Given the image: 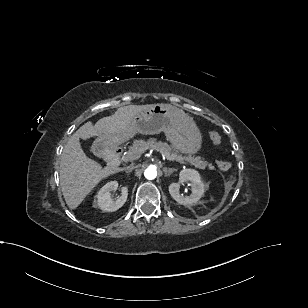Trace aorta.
Returning <instances> with one entry per match:
<instances>
[{"label": "aorta", "mask_w": 308, "mask_h": 308, "mask_svg": "<svg viewBox=\"0 0 308 308\" xmlns=\"http://www.w3.org/2000/svg\"><path fill=\"white\" fill-rule=\"evenodd\" d=\"M144 176L148 180H153L157 177V170L154 166H150L144 171Z\"/></svg>", "instance_id": "obj_1"}]
</instances>
